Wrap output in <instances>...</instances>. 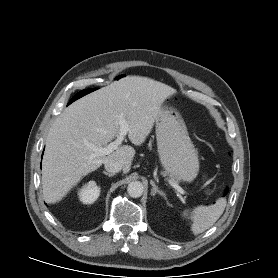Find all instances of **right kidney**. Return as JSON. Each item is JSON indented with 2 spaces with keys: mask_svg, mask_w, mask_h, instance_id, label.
Wrapping results in <instances>:
<instances>
[{
  "mask_svg": "<svg viewBox=\"0 0 278 278\" xmlns=\"http://www.w3.org/2000/svg\"><path fill=\"white\" fill-rule=\"evenodd\" d=\"M99 195L100 187L97 185L95 181H89L78 191L79 200L83 204L94 203L99 197Z\"/></svg>",
  "mask_w": 278,
  "mask_h": 278,
  "instance_id": "ca27d5eb",
  "label": "right kidney"
}]
</instances>
